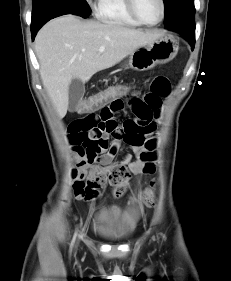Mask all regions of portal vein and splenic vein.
I'll return each instance as SVG.
<instances>
[{"instance_id":"obj_1","label":"portal vein and splenic vein","mask_w":231,"mask_h":281,"mask_svg":"<svg viewBox=\"0 0 231 281\" xmlns=\"http://www.w3.org/2000/svg\"><path fill=\"white\" fill-rule=\"evenodd\" d=\"M104 51H105V47H104V46H101V47L99 48V52L102 53V52H104Z\"/></svg>"}]
</instances>
